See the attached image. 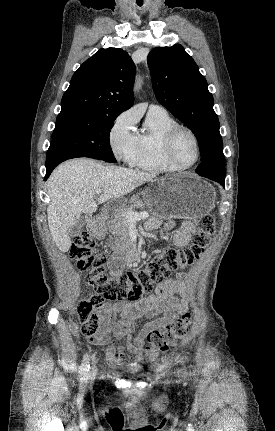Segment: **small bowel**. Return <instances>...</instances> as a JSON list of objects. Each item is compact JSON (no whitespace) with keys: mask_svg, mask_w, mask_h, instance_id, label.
Returning a JSON list of instances; mask_svg holds the SVG:
<instances>
[{"mask_svg":"<svg viewBox=\"0 0 275 431\" xmlns=\"http://www.w3.org/2000/svg\"><path fill=\"white\" fill-rule=\"evenodd\" d=\"M158 225L159 222L156 219H150L146 224L149 230L156 229ZM170 229H172L171 224L163 228L164 231ZM194 230L195 227L191 221H184L172 230L171 239L177 247H184L189 243ZM121 266L119 257L114 255L110 260L111 274H120ZM176 294H180L182 298L176 297ZM187 307L185 284L182 275H178L158 284L155 293L140 300L106 304L102 310L104 320L100 331L87 340L91 344L104 346L105 356L111 363H122L130 355L140 356L149 332L172 323L187 310ZM143 319H149V321L144 323L138 334L134 336L139 327L138 322ZM113 338L124 340V344L119 347L113 346Z\"/></svg>","mask_w":275,"mask_h":431,"instance_id":"obj_1","label":"small bowel"}]
</instances>
